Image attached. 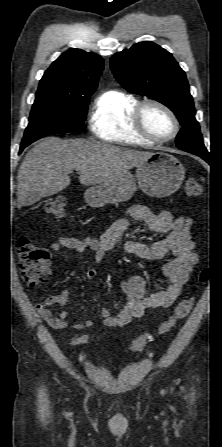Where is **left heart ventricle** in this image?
<instances>
[{
    "label": "left heart ventricle",
    "instance_id": "obj_1",
    "mask_svg": "<svg viewBox=\"0 0 222 447\" xmlns=\"http://www.w3.org/2000/svg\"><path fill=\"white\" fill-rule=\"evenodd\" d=\"M143 121L147 130L157 137L165 138L173 132L174 127L170 117L155 106L146 107Z\"/></svg>",
    "mask_w": 222,
    "mask_h": 447
}]
</instances>
